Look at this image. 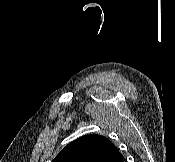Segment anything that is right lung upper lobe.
Listing matches in <instances>:
<instances>
[{
    "label": "right lung upper lobe",
    "instance_id": "1",
    "mask_svg": "<svg viewBox=\"0 0 175 162\" xmlns=\"http://www.w3.org/2000/svg\"><path fill=\"white\" fill-rule=\"evenodd\" d=\"M123 156L106 137L84 135L67 144L52 162H122Z\"/></svg>",
    "mask_w": 175,
    "mask_h": 162
}]
</instances>
